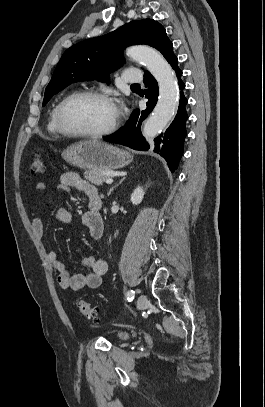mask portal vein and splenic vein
I'll return each instance as SVG.
<instances>
[{
	"label": "portal vein and splenic vein",
	"mask_w": 265,
	"mask_h": 407,
	"mask_svg": "<svg viewBox=\"0 0 265 407\" xmlns=\"http://www.w3.org/2000/svg\"><path fill=\"white\" fill-rule=\"evenodd\" d=\"M105 182H106L107 184H111V183L113 182V179H112V178H108V179L105 180Z\"/></svg>",
	"instance_id": "portal-vein-and-splenic-vein-1"
}]
</instances>
